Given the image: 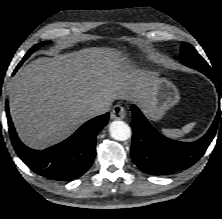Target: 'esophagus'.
<instances>
[{
    "label": "esophagus",
    "instance_id": "obj_1",
    "mask_svg": "<svg viewBox=\"0 0 222 219\" xmlns=\"http://www.w3.org/2000/svg\"><path fill=\"white\" fill-rule=\"evenodd\" d=\"M126 116V111L124 107L121 105L117 104L113 107L112 112H111V118L114 120H122Z\"/></svg>",
    "mask_w": 222,
    "mask_h": 219
}]
</instances>
